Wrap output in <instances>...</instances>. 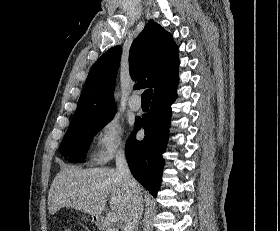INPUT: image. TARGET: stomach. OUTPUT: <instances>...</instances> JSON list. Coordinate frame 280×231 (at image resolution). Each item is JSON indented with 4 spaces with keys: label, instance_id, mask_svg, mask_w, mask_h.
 Segmentation results:
<instances>
[{
    "label": "stomach",
    "instance_id": "stomach-1",
    "mask_svg": "<svg viewBox=\"0 0 280 231\" xmlns=\"http://www.w3.org/2000/svg\"><path fill=\"white\" fill-rule=\"evenodd\" d=\"M93 221H94V223H97V225H98V217H93Z\"/></svg>",
    "mask_w": 280,
    "mask_h": 231
}]
</instances>
